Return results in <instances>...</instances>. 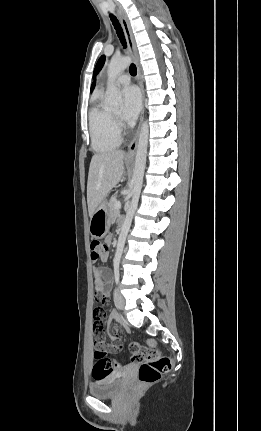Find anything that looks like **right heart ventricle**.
<instances>
[{
  "label": "right heart ventricle",
  "mask_w": 261,
  "mask_h": 431,
  "mask_svg": "<svg viewBox=\"0 0 261 431\" xmlns=\"http://www.w3.org/2000/svg\"><path fill=\"white\" fill-rule=\"evenodd\" d=\"M99 92L89 112L91 145L97 153H109L121 144V135L111 113L101 103Z\"/></svg>",
  "instance_id": "e07e8e85"
}]
</instances>
